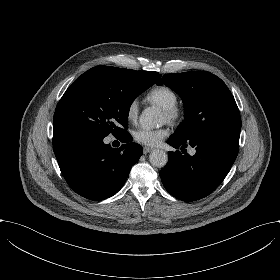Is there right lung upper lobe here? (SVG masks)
I'll return each instance as SVG.
<instances>
[{
	"label": "right lung upper lobe",
	"mask_w": 280,
	"mask_h": 280,
	"mask_svg": "<svg viewBox=\"0 0 280 280\" xmlns=\"http://www.w3.org/2000/svg\"><path fill=\"white\" fill-rule=\"evenodd\" d=\"M139 78H141L142 80L150 83V84H155L161 77V75L157 72H152V71H134L132 70ZM53 140L56 141L58 140L60 137L63 136V134H59L56 132H53Z\"/></svg>",
	"instance_id": "1"
}]
</instances>
